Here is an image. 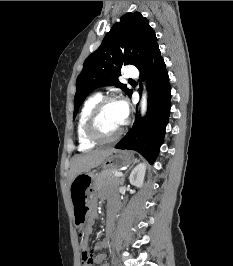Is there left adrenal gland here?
Masks as SVG:
<instances>
[{
    "label": "left adrenal gland",
    "instance_id": "left-adrenal-gland-1",
    "mask_svg": "<svg viewBox=\"0 0 233 266\" xmlns=\"http://www.w3.org/2000/svg\"><path fill=\"white\" fill-rule=\"evenodd\" d=\"M138 162H139V161H138L137 159H135V160L133 161L132 166H133L134 164L138 163ZM132 166L129 167V169L127 170V172L132 168ZM124 181H125V174L122 176L120 184H123Z\"/></svg>",
    "mask_w": 233,
    "mask_h": 266
}]
</instances>
